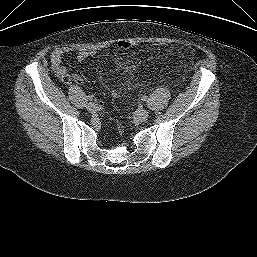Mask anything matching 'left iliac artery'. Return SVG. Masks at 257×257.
<instances>
[{"instance_id":"obj_1","label":"left iliac artery","mask_w":257,"mask_h":257,"mask_svg":"<svg viewBox=\"0 0 257 257\" xmlns=\"http://www.w3.org/2000/svg\"><path fill=\"white\" fill-rule=\"evenodd\" d=\"M142 100H143V101H146V100H147V96H143V97H142Z\"/></svg>"}]
</instances>
